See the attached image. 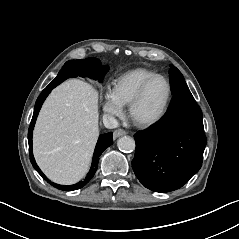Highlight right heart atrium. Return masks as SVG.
<instances>
[{
	"label": "right heart atrium",
	"instance_id": "obj_1",
	"mask_svg": "<svg viewBox=\"0 0 239 239\" xmlns=\"http://www.w3.org/2000/svg\"><path fill=\"white\" fill-rule=\"evenodd\" d=\"M122 106L114 99L109 91L104 92L103 111L110 116H117L122 113Z\"/></svg>",
	"mask_w": 239,
	"mask_h": 239
}]
</instances>
